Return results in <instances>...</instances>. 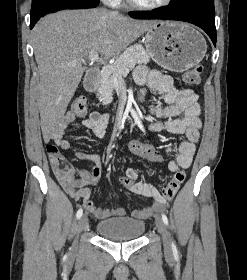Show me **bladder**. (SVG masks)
<instances>
[{"label": "bladder", "mask_w": 247, "mask_h": 280, "mask_svg": "<svg viewBox=\"0 0 247 280\" xmlns=\"http://www.w3.org/2000/svg\"><path fill=\"white\" fill-rule=\"evenodd\" d=\"M96 231L101 237L112 241H130L143 235L145 223L130 217L108 218L97 223Z\"/></svg>", "instance_id": "obj_1"}]
</instances>
